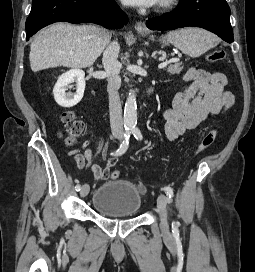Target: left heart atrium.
Returning <instances> with one entry per match:
<instances>
[{
	"label": "left heart atrium",
	"instance_id": "obj_1",
	"mask_svg": "<svg viewBox=\"0 0 255 272\" xmlns=\"http://www.w3.org/2000/svg\"><path fill=\"white\" fill-rule=\"evenodd\" d=\"M123 1L138 7H152L159 2V0H123Z\"/></svg>",
	"mask_w": 255,
	"mask_h": 272
}]
</instances>
